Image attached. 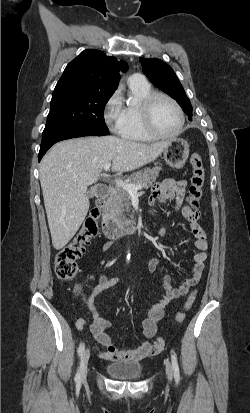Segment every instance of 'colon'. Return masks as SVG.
<instances>
[{
	"mask_svg": "<svg viewBox=\"0 0 250 413\" xmlns=\"http://www.w3.org/2000/svg\"><path fill=\"white\" fill-rule=\"evenodd\" d=\"M190 161L193 167V174L186 200L190 207L197 208L204 186L205 170L202 158L199 154H193ZM99 218V209H92L90 215L73 239L57 252L55 257V271L60 279L72 280L78 275L79 267L77 260L84 254L85 248L90 240L97 236ZM195 298L196 291L194 290L188 296L183 310L176 314L175 320L178 324H181L185 320L186 311L190 309ZM154 346L159 350H163L165 347V340L162 337H158L154 342Z\"/></svg>",
	"mask_w": 250,
	"mask_h": 413,
	"instance_id": "obj_1",
	"label": "colon"
}]
</instances>
